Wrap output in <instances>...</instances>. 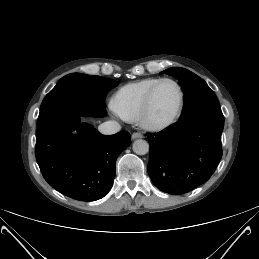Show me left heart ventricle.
Returning <instances> with one entry per match:
<instances>
[{
    "label": "left heart ventricle",
    "instance_id": "obj_1",
    "mask_svg": "<svg viewBox=\"0 0 259 259\" xmlns=\"http://www.w3.org/2000/svg\"><path fill=\"white\" fill-rule=\"evenodd\" d=\"M179 94L170 82H164L156 89L151 110V119L161 122L169 119L177 109Z\"/></svg>",
    "mask_w": 259,
    "mask_h": 259
}]
</instances>
